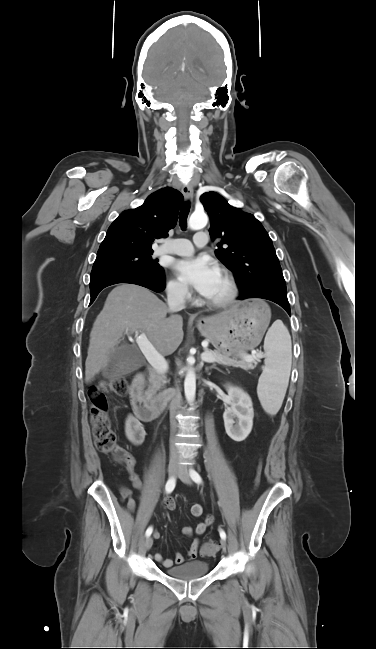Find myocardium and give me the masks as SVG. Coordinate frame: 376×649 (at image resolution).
Returning <instances> with one entry per match:
<instances>
[{
    "instance_id": "obj_1",
    "label": "myocardium",
    "mask_w": 376,
    "mask_h": 649,
    "mask_svg": "<svg viewBox=\"0 0 376 649\" xmlns=\"http://www.w3.org/2000/svg\"><path fill=\"white\" fill-rule=\"evenodd\" d=\"M220 273L223 275L228 284L227 294L219 300L204 299L205 304L211 308H224L232 304L238 295V286L234 276L226 268H221Z\"/></svg>"
}]
</instances>
